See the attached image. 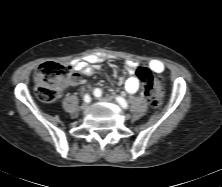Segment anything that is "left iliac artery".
Here are the masks:
<instances>
[{
	"label": "left iliac artery",
	"mask_w": 222,
	"mask_h": 187,
	"mask_svg": "<svg viewBox=\"0 0 222 187\" xmlns=\"http://www.w3.org/2000/svg\"><path fill=\"white\" fill-rule=\"evenodd\" d=\"M94 95L96 97H100L102 95V91L97 88V89L94 90ZM115 99L124 109L128 108V103L124 98H122L120 96H117V97H115Z\"/></svg>",
	"instance_id": "1"
}]
</instances>
